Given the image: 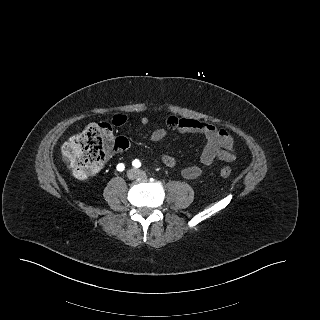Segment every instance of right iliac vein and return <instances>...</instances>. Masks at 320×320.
<instances>
[{
	"label": "right iliac vein",
	"instance_id": "1",
	"mask_svg": "<svg viewBox=\"0 0 320 320\" xmlns=\"http://www.w3.org/2000/svg\"><path fill=\"white\" fill-rule=\"evenodd\" d=\"M127 177L130 179V180H134L136 177H137V173L135 170H129L127 171Z\"/></svg>",
	"mask_w": 320,
	"mask_h": 320
}]
</instances>
